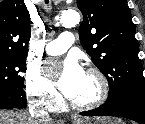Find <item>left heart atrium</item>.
<instances>
[{"label":"left heart atrium","instance_id":"obj_1","mask_svg":"<svg viewBox=\"0 0 145 124\" xmlns=\"http://www.w3.org/2000/svg\"><path fill=\"white\" fill-rule=\"evenodd\" d=\"M83 75L84 72L76 59L69 58L64 65L58 82L60 90L66 97H70L74 93Z\"/></svg>","mask_w":145,"mask_h":124}]
</instances>
